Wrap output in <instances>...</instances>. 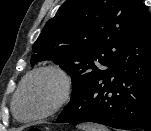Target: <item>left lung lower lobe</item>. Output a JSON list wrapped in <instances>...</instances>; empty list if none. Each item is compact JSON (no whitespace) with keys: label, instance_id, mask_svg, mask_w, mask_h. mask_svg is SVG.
<instances>
[{"label":"left lung lower lobe","instance_id":"obj_1","mask_svg":"<svg viewBox=\"0 0 151 131\" xmlns=\"http://www.w3.org/2000/svg\"><path fill=\"white\" fill-rule=\"evenodd\" d=\"M55 122L151 131V15L144 4L121 59L72 98Z\"/></svg>","mask_w":151,"mask_h":131}]
</instances>
